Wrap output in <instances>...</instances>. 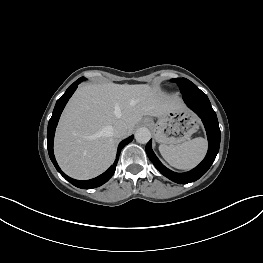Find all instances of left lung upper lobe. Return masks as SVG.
<instances>
[{
    "label": "left lung upper lobe",
    "instance_id": "1",
    "mask_svg": "<svg viewBox=\"0 0 263 263\" xmlns=\"http://www.w3.org/2000/svg\"><path fill=\"white\" fill-rule=\"evenodd\" d=\"M173 82L177 83L182 94L201 91L195 84L186 78H175Z\"/></svg>",
    "mask_w": 263,
    "mask_h": 263
}]
</instances>
